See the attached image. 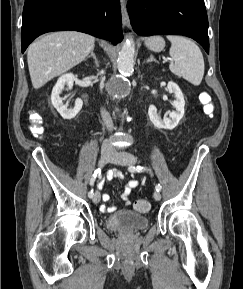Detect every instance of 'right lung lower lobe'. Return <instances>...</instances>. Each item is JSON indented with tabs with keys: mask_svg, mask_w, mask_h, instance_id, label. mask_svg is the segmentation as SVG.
I'll return each instance as SVG.
<instances>
[{
	"mask_svg": "<svg viewBox=\"0 0 243 289\" xmlns=\"http://www.w3.org/2000/svg\"><path fill=\"white\" fill-rule=\"evenodd\" d=\"M76 30L117 44L123 39L119 0H25L22 53L39 35Z\"/></svg>",
	"mask_w": 243,
	"mask_h": 289,
	"instance_id": "1",
	"label": "right lung lower lobe"
}]
</instances>
